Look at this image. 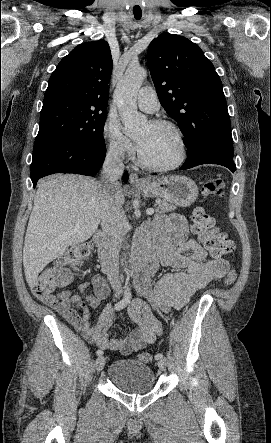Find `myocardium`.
<instances>
[{
  "mask_svg": "<svg viewBox=\"0 0 271 443\" xmlns=\"http://www.w3.org/2000/svg\"><path fill=\"white\" fill-rule=\"evenodd\" d=\"M149 124L152 126H166V127L173 129L176 132L179 142H180V155L176 161H174L170 164L158 165V164H154V163L149 162L142 155L141 151L139 150L138 151L139 163L144 168H146L148 170L156 171V172H165V171L176 169L179 166H181L186 161L187 155H188V145H187V140H186L183 130L176 123H174L170 120H165V119H153V120L149 121Z\"/></svg>",
  "mask_w": 271,
  "mask_h": 443,
  "instance_id": "obj_1",
  "label": "myocardium"
}]
</instances>
